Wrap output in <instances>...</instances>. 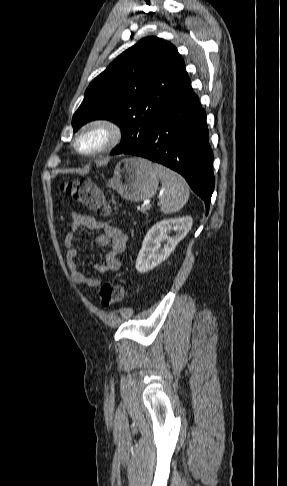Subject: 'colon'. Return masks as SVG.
I'll return each mask as SVG.
<instances>
[{"mask_svg": "<svg viewBox=\"0 0 287 486\" xmlns=\"http://www.w3.org/2000/svg\"><path fill=\"white\" fill-rule=\"evenodd\" d=\"M61 191L100 215L106 216L110 212L103 190L90 179L79 178L64 182L61 184ZM124 293L125 290L121 284L105 283L100 288L98 296L102 306L109 307L119 303L123 299Z\"/></svg>", "mask_w": 287, "mask_h": 486, "instance_id": "colon-1", "label": "colon"}]
</instances>
